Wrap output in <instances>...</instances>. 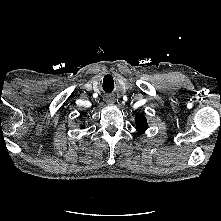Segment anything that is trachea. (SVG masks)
<instances>
[{
	"instance_id": "3493384b",
	"label": "trachea",
	"mask_w": 221,
	"mask_h": 221,
	"mask_svg": "<svg viewBox=\"0 0 221 221\" xmlns=\"http://www.w3.org/2000/svg\"><path fill=\"white\" fill-rule=\"evenodd\" d=\"M104 90L106 92H111L113 90V86H108V87L104 88Z\"/></svg>"
}]
</instances>
